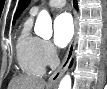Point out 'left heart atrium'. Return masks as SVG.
<instances>
[{"label":"left heart atrium","mask_w":107,"mask_h":89,"mask_svg":"<svg viewBox=\"0 0 107 89\" xmlns=\"http://www.w3.org/2000/svg\"><path fill=\"white\" fill-rule=\"evenodd\" d=\"M54 43L56 46L65 47L72 39L74 27L72 18L68 13L58 15L53 25Z\"/></svg>","instance_id":"39dd6f15"}]
</instances>
